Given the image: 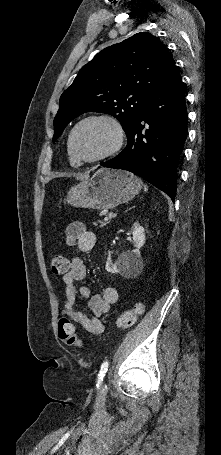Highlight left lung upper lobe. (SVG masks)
<instances>
[{
  "label": "left lung upper lobe",
  "instance_id": "1",
  "mask_svg": "<svg viewBox=\"0 0 221 455\" xmlns=\"http://www.w3.org/2000/svg\"><path fill=\"white\" fill-rule=\"evenodd\" d=\"M175 66L171 53L150 33L141 32L105 48L84 65L60 97L53 141L85 112L117 118L126 135L151 96Z\"/></svg>",
  "mask_w": 221,
  "mask_h": 455
}]
</instances>
